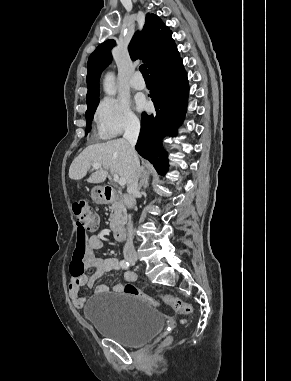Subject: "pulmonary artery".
<instances>
[{"mask_svg": "<svg viewBox=\"0 0 291 381\" xmlns=\"http://www.w3.org/2000/svg\"><path fill=\"white\" fill-rule=\"evenodd\" d=\"M130 84L136 90H142L145 88V81L142 78V75L140 72H136L132 76Z\"/></svg>", "mask_w": 291, "mask_h": 381, "instance_id": "1", "label": "pulmonary artery"}]
</instances>
